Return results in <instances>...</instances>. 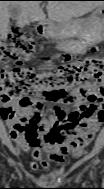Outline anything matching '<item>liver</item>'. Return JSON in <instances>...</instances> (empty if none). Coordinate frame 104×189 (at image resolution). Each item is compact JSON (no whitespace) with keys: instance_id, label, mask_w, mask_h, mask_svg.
<instances>
[{"instance_id":"1","label":"liver","mask_w":104,"mask_h":189,"mask_svg":"<svg viewBox=\"0 0 104 189\" xmlns=\"http://www.w3.org/2000/svg\"><path fill=\"white\" fill-rule=\"evenodd\" d=\"M9 6L18 9L15 19L19 27L42 21L46 17L39 1H3L0 3L2 39H5L8 33ZM100 6L103 4L98 1H49L47 14L51 21L58 25H66L73 21V18L80 17Z\"/></svg>"}]
</instances>
